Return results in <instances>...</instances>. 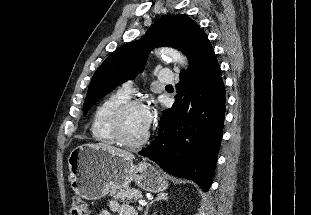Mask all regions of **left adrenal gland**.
Segmentation results:
<instances>
[{"instance_id": "obj_1", "label": "left adrenal gland", "mask_w": 311, "mask_h": 215, "mask_svg": "<svg viewBox=\"0 0 311 215\" xmlns=\"http://www.w3.org/2000/svg\"><path fill=\"white\" fill-rule=\"evenodd\" d=\"M167 198H168V197H167V194H166V193H160V194H158L157 197H156L154 200H152V201L147 205L146 210H145V212H144V215H147V214H148L149 207H150L154 202L160 201V200H167Z\"/></svg>"}]
</instances>
